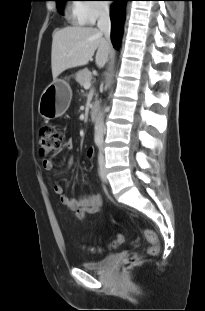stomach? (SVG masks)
I'll use <instances>...</instances> for the list:
<instances>
[{
  "label": "stomach",
  "instance_id": "1",
  "mask_svg": "<svg viewBox=\"0 0 205 311\" xmlns=\"http://www.w3.org/2000/svg\"><path fill=\"white\" fill-rule=\"evenodd\" d=\"M72 91L68 83L55 80L41 94L38 111L45 119L62 116L69 107Z\"/></svg>",
  "mask_w": 205,
  "mask_h": 311
}]
</instances>
